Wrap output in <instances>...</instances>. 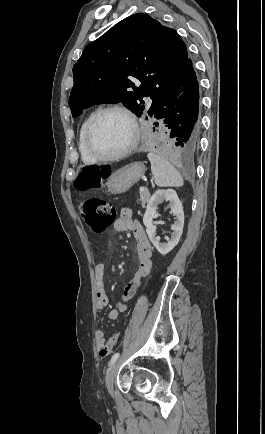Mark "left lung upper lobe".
<instances>
[{
	"label": "left lung upper lobe",
	"mask_w": 265,
	"mask_h": 434,
	"mask_svg": "<svg viewBox=\"0 0 265 434\" xmlns=\"http://www.w3.org/2000/svg\"><path fill=\"white\" fill-rule=\"evenodd\" d=\"M188 58L186 44L173 28L147 14L131 15L90 43L74 65L72 116L95 104L117 102L141 116L146 96L153 100L152 116Z\"/></svg>",
	"instance_id": "left-lung-upper-lobe-1"
}]
</instances>
